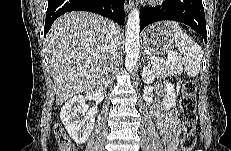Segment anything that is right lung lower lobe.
Instances as JSON below:
<instances>
[{"instance_id": "obj_1", "label": "right lung lower lobe", "mask_w": 231, "mask_h": 151, "mask_svg": "<svg viewBox=\"0 0 231 151\" xmlns=\"http://www.w3.org/2000/svg\"><path fill=\"white\" fill-rule=\"evenodd\" d=\"M124 0H48L44 36L54 20L69 11H90L124 24Z\"/></svg>"}]
</instances>
